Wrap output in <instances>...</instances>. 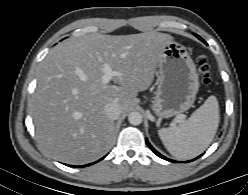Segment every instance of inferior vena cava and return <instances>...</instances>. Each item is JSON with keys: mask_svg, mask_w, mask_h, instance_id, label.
<instances>
[{"mask_svg": "<svg viewBox=\"0 0 248 195\" xmlns=\"http://www.w3.org/2000/svg\"><path fill=\"white\" fill-rule=\"evenodd\" d=\"M104 113L109 119L115 120L119 118V116L122 113V110H121L120 105L117 102L112 101L105 105Z\"/></svg>", "mask_w": 248, "mask_h": 195, "instance_id": "1", "label": "inferior vena cava"}]
</instances>
